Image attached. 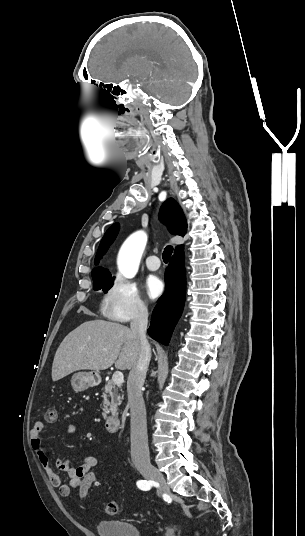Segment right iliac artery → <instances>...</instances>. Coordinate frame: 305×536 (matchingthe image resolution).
<instances>
[{
	"label": "right iliac artery",
	"mask_w": 305,
	"mask_h": 536,
	"mask_svg": "<svg viewBox=\"0 0 305 536\" xmlns=\"http://www.w3.org/2000/svg\"><path fill=\"white\" fill-rule=\"evenodd\" d=\"M137 486L139 489L147 491V490H150L151 488V482L146 481V480H139L137 482Z\"/></svg>",
	"instance_id": "right-iliac-artery-1"
}]
</instances>
